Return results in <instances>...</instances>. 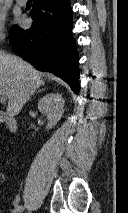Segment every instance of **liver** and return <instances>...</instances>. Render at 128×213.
Here are the masks:
<instances>
[{"mask_svg":"<svg viewBox=\"0 0 128 213\" xmlns=\"http://www.w3.org/2000/svg\"><path fill=\"white\" fill-rule=\"evenodd\" d=\"M44 81L23 59L0 51V95L8 99L7 113L15 116Z\"/></svg>","mask_w":128,"mask_h":213,"instance_id":"liver-1","label":"liver"}]
</instances>
